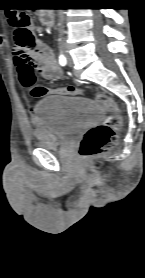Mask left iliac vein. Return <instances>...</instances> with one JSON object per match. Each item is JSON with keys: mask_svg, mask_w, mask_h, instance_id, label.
Returning <instances> with one entry per match:
<instances>
[{"mask_svg": "<svg viewBox=\"0 0 145 278\" xmlns=\"http://www.w3.org/2000/svg\"><path fill=\"white\" fill-rule=\"evenodd\" d=\"M68 65L71 66L72 65V58L70 56H68Z\"/></svg>", "mask_w": 145, "mask_h": 278, "instance_id": "left-iliac-vein-1", "label": "left iliac vein"}]
</instances>
